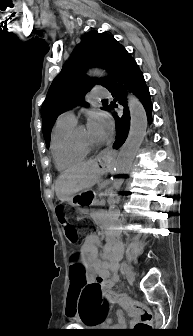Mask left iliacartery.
I'll return each mask as SVG.
<instances>
[{
  "label": "left iliac artery",
  "mask_w": 193,
  "mask_h": 336,
  "mask_svg": "<svg viewBox=\"0 0 193 336\" xmlns=\"http://www.w3.org/2000/svg\"><path fill=\"white\" fill-rule=\"evenodd\" d=\"M123 271H124V267H123V265L121 266V272L123 273Z\"/></svg>",
  "instance_id": "left-iliac-artery-1"
}]
</instances>
